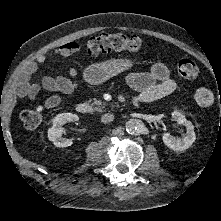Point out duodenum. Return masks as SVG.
I'll use <instances>...</instances> for the list:
<instances>
[{"label": "duodenum", "mask_w": 221, "mask_h": 221, "mask_svg": "<svg viewBox=\"0 0 221 221\" xmlns=\"http://www.w3.org/2000/svg\"><path fill=\"white\" fill-rule=\"evenodd\" d=\"M136 102H140V101L136 98ZM76 110L79 114L85 115L89 113L90 106L87 103H79L76 107Z\"/></svg>", "instance_id": "duodenum-1"}]
</instances>
